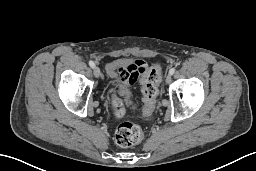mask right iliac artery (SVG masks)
<instances>
[{"label":"right iliac artery","instance_id":"right-iliac-artery-1","mask_svg":"<svg viewBox=\"0 0 256 171\" xmlns=\"http://www.w3.org/2000/svg\"><path fill=\"white\" fill-rule=\"evenodd\" d=\"M89 65H90L91 68H94V67H95V63H94L92 60L89 61Z\"/></svg>","mask_w":256,"mask_h":171}]
</instances>
